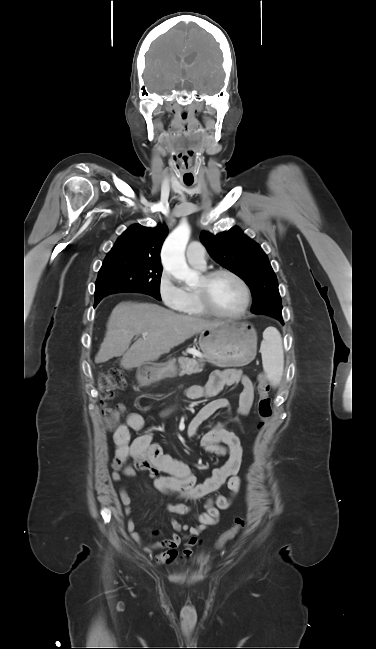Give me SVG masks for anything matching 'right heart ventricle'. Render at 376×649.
Wrapping results in <instances>:
<instances>
[{
    "instance_id": "e07e8e85",
    "label": "right heart ventricle",
    "mask_w": 376,
    "mask_h": 649,
    "mask_svg": "<svg viewBox=\"0 0 376 649\" xmlns=\"http://www.w3.org/2000/svg\"><path fill=\"white\" fill-rule=\"evenodd\" d=\"M179 311L188 316L204 317L208 315L199 301L196 289L190 287L184 289V301Z\"/></svg>"
}]
</instances>
